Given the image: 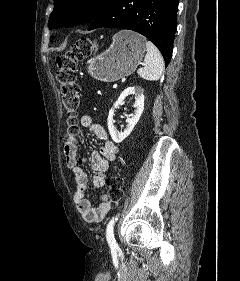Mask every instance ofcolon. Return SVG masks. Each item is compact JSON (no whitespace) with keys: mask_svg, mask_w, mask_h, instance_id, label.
<instances>
[{"mask_svg":"<svg viewBox=\"0 0 240 281\" xmlns=\"http://www.w3.org/2000/svg\"><path fill=\"white\" fill-rule=\"evenodd\" d=\"M95 50V43L82 38L74 43L65 54L57 58V79L61 89L62 103L67 113L65 144L75 143L79 128L77 113L80 106V87L77 82V64ZM123 177L115 172L107 180L108 199L111 207L118 205L123 195Z\"/></svg>","mask_w":240,"mask_h":281,"instance_id":"1","label":"colon"}]
</instances>
